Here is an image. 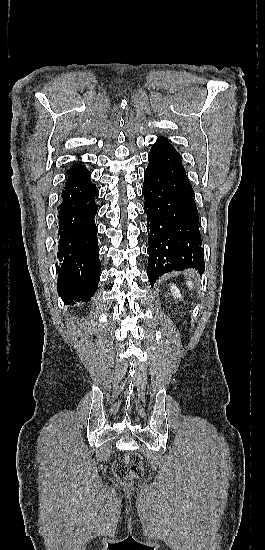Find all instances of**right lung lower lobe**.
I'll list each match as a JSON object with an SVG mask.
<instances>
[{"instance_id": "1", "label": "right lung lower lobe", "mask_w": 265, "mask_h": 550, "mask_svg": "<svg viewBox=\"0 0 265 550\" xmlns=\"http://www.w3.org/2000/svg\"><path fill=\"white\" fill-rule=\"evenodd\" d=\"M99 192L84 165L74 164L67 174L58 209L59 231L57 290L70 301H88L100 278L95 199Z\"/></svg>"}]
</instances>
